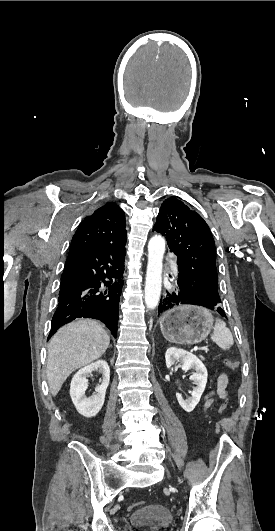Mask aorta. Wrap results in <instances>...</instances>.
Wrapping results in <instances>:
<instances>
[{
  "instance_id": "aorta-1",
  "label": "aorta",
  "mask_w": 275,
  "mask_h": 531,
  "mask_svg": "<svg viewBox=\"0 0 275 531\" xmlns=\"http://www.w3.org/2000/svg\"><path fill=\"white\" fill-rule=\"evenodd\" d=\"M165 239L152 237L148 243V265L145 283V305L147 309H156L161 295L163 255Z\"/></svg>"
}]
</instances>
